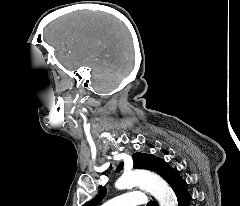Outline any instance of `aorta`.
<instances>
[{
  "label": "aorta",
  "mask_w": 240,
  "mask_h": 206,
  "mask_svg": "<svg viewBox=\"0 0 240 206\" xmlns=\"http://www.w3.org/2000/svg\"><path fill=\"white\" fill-rule=\"evenodd\" d=\"M141 186L151 193L160 206H177V198L168 184L158 175L145 171L135 170L125 172L115 183L119 190Z\"/></svg>",
  "instance_id": "aorta-1"
}]
</instances>
